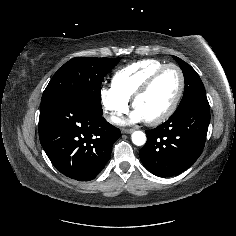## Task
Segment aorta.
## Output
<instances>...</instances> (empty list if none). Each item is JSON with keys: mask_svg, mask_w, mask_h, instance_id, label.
I'll return each mask as SVG.
<instances>
[{"mask_svg": "<svg viewBox=\"0 0 236 236\" xmlns=\"http://www.w3.org/2000/svg\"><path fill=\"white\" fill-rule=\"evenodd\" d=\"M131 140L136 146H142L146 142V135L142 131H134L131 135Z\"/></svg>", "mask_w": 236, "mask_h": 236, "instance_id": "762f6f07", "label": "aorta"}]
</instances>
